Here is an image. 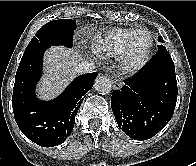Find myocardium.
I'll use <instances>...</instances> for the list:
<instances>
[{
  "mask_svg": "<svg viewBox=\"0 0 196 166\" xmlns=\"http://www.w3.org/2000/svg\"><path fill=\"white\" fill-rule=\"evenodd\" d=\"M138 32H145L149 42L147 49L142 55L136 57L133 54L130 43L133 36ZM154 41L151 32L145 28H137L130 32L126 38V46L123 55L121 56V69L126 74H135L142 70L150 61L153 53Z\"/></svg>",
  "mask_w": 196,
  "mask_h": 166,
  "instance_id": "f54148a6",
  "label": "myocardium"
}]
</instances>
